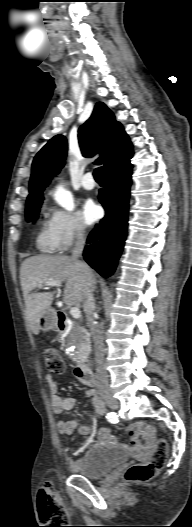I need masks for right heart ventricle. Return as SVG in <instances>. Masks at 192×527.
<instances>
[{"label": "right heart ventricle", "mask_w": 192, "mask_h": 527, "mask_svg": "<svg viewBox=\"0 0 192 527\" xmlns=\"http://www.w3.org/2000/svg\"><path fill=\"white\" fill-rule=\"evenodd\" d=\"M36 243L40 251L51 253L56 250L55 243L50 232L48 223H44L37 234Z\"/></svg>", "instance_id": "1"}]
</instances>
